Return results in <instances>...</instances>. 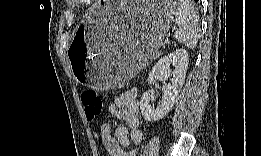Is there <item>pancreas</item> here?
Wrapping results in <instances>:
<instances>
[{
  "instance_id": "obj_1",
  "label": "pancreas",
  "mask_w": 261,
  "mask_h": 156,
  "mask_svg": "<svg viewBox=\"0 0 261 156\" xmlns=\"http://www.w3.org/2000/svg\"><path fill=\"white\" fill-rule=\"evenodd\" d=\"M160 56V53L159 52H156L150 59H156Z\"/></svg>"
}]
</instances>
